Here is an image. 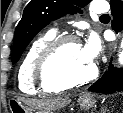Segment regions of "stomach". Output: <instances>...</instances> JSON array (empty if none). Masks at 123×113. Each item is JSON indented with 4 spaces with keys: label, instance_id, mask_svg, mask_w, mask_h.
<instances>
[{
    "label": "stomach",
    "instance_id": "1",
    "mask_svg": "<svg viewBox=\"0 0 123 113\" xmlns=\"http://www.w3.org/2000/svg\"><path fill=\"white\" fill-rule=\"evenodd\" d=\"M79 105L82 109H89L94 106L96 100L93 95L83 94L78 99ZM9 108L13 113H32L31 109L24 106L20 101L12 99L9 101Z\"/></svg>",
    "mask_w": 123,
    "mask_h": 113
}]
</instances>
